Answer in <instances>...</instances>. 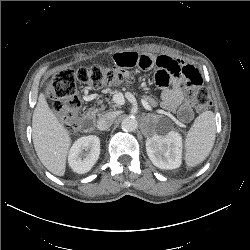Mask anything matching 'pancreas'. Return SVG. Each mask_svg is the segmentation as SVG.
Instances as JSON below:
<instances>
[{
	"instance_id": "obj_1",
	"label": "pancreas",
	"mask_w": 250,
	"mask_h": 250,
	"mask_svg": "<svg viewBox=\"0 0 250 250\" xmlns=\"http://www.w3.org/2000/svg\"><path fill=\"white\" fill-rule=\"evenodd\" d=\"M106 101L108 102V105L113 107V108H115L117 106L116 104H112V102L109 101V99H106ZM98 103L100 104V108L95 109L94 112L100 114L105 110L106 106L104 105L103 100H100ZM153 104H155V103L153 102Z\"/></svg>"
}]
</instances>
